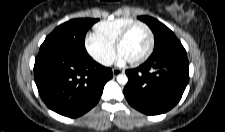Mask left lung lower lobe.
<instances>
[{
  "label": "left lung lower lobe",
  "mask_w": 225,
  "mask_h": 132,
  "mask_svg": "<svg viewBox=\"0 0 225 132\" xmlns=\"http://www.w3.org/2000/svg\"><path fill=\"white\" fill-rule=\"evenodd\" d=\"M185 49L175 50L126 70L124 95L128 103L147 115H158L173 108L181 99L189 79Z\"/></svg>",
  "instance_id": "left-lung-lower-lobe-1"
}]
</instances>
